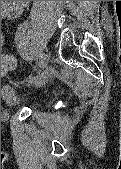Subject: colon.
<instances>
[{
    "mask_svg": "<svg viewBox=\"0 0 121 169\" xmlns=\"http://www.w3.org/2000/svg\"><path fill=\"white\" fill-rule=\"evenodd\" d=\"M16 66V59L12 54H3L1 59V72L6 73Z\"/></svg>",
    "mask_w": 121,
    "mask_h": 169,
    "instance_id": "obj_1",
    "label": "colon"
}]
</instances>
